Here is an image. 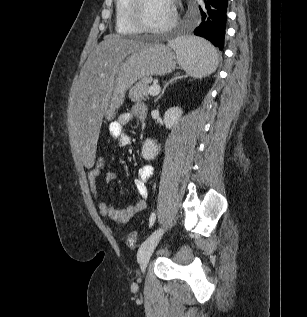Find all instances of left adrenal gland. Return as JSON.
Returning <instances> with one entry per match:
<instances>
[{
	"label": "left adrenal gland",
	"mask_w": 307,
	"mask_h": 317,
	"mask_svg": "<svg viewBox=\"0 0 307 317\" xmlns=\"http://www.w3.org/2000/svg\"><path fill=\"white\" fill-rule=\"evenodd\" d=\"M184 77H187V76H183V75L177 74L174 78H172L169 82H167V83L164 85L161 94L155 99V102H157L159 99H161V97L164 95V92H165L166 88H167L171 83H173L174 81H176V80H178V79H182V78H184Z\"/></svg>",
	"instance_id": "1"
}]
</instances>
